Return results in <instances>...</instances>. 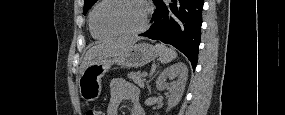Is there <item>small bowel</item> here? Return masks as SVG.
<instances>
[{"mask_svg": "<svg viewBox=\"0 0 285 115\" xmlns=\"http://www.w3.org/2000/svg\"><path fill=\"white\" fill-rule=\"evenodd\" d=\"M123 101H127L131 104L132 115H144L139 102L140 95L138 88L125 79H114L110 85V100L107 107V114L116 115L117 108Z\"/></svg>", "mask_w": 285, "mask_h": 115, "instance_id": "1", "label": "small bowel"}]
</instances>
